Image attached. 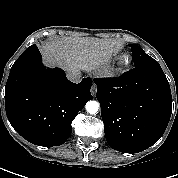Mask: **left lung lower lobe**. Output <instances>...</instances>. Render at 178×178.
I'll use <instances>...</instances> for the list:
<instances>
[{
  "instance_id": "1",
  "label": "left lung lower lobe",
  "mask_w": 178,
  "mask_h": 178,
  "mask_svg": "<svg viewBox=\"0 0 178 178\" xmlns=\"http://www.w3.org/2000/svg\"><path fill=\"white\" fill-rule=\"evenodd\" d=\"M108 144L124 153L156 143L172 112L169 82L157 61L136 65L118 78L95 79Z\"/></svg>"
}]
</instances>
